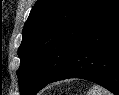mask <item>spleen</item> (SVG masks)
Masks as SVG:
<instances>
[{
  "instance_id": "spleen-1",
  "label": "spleen",
  "mask_w": 119,
  "mask_h": 95,
  "mask_svg": "<svg viewBox=\"0 0 119 95\" xmlns=\"http://www.w3.org/2000/svg\"><path fill=\"white\" fill-rule=\"evenodd\" d=\"M87 95H112L108 90L99 85H93Z\"/></svg>"
}]
</instances>
